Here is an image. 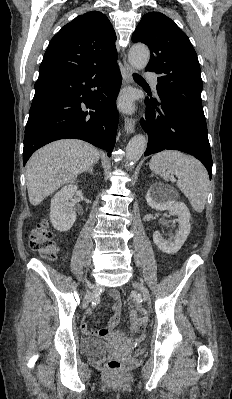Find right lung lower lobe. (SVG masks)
<instances>
[{
  "instance_id": "1",
  "label": "right lung lower lobe",
  "mask_w": 232,
  "mask_h": 399,
  "mask_svg": "<svg viewBox=\"0 0 232 399\" xmlns=\"http://www.w3.org/2000/svg\"><path fill=\"white\" fill-rule=\"evenodd\" d=\"M116 61L82 70L39 72L25 128L24 165L34 151L64 138L87 141L111 155L121 86Z\"/></svg>"
}]
</instances>
